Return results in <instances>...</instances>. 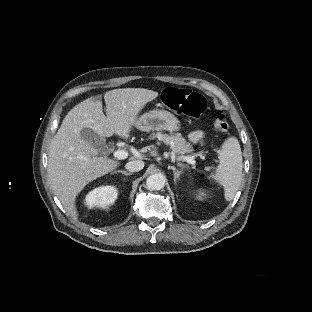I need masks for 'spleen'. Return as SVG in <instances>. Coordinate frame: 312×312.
Returning a JSON list of instances; mask_svg holds the SVG:
<instances>
[{"label": "spleen", "instance_id": "spleen-1", "mask_svg": "<svg viewBox=\"0 0 312 312\" xmlns=\"http://www.w3.org/2000/svg\"><path fill=\"white\" fill-rule=\"evenodd\" d=\"M217 157L218 167L209 181L221 186L224 201L230 202L240 186L242 174V155L238 140L234 137L225 140Z\"/></svg>", "mask_w": 312, "mask_h": 312}]
</instances>
